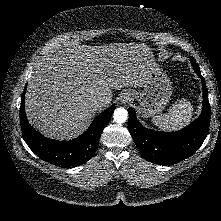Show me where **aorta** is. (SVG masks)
Here are the masks:
<instances>
[{"instance_id":"obj_1","label":"aorta","mask_w":221,"mask_h":221,"mask_svg":"<svg viewBox=\"0 0 221 221\" xmlns=\"http://www.w3.org/2000/svg\"><path fill=\"white\" fill-rule=\"evenodd\" d=\"M113 118L117 123H124L128 119V112L124 108H117L113 113Z\"/></svg>"}]
</instances>
